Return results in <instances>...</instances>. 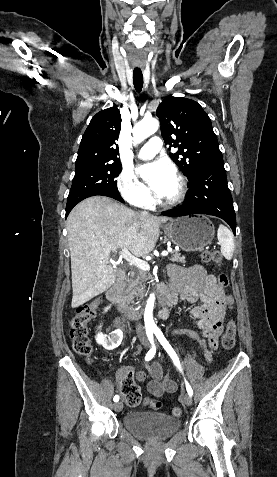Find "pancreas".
I'll use <instances>...</instances> for the list:
<instances>
[{
	"label": "pancreas",
	"instance_id": "1",
	"mask_svg": "<svg viewBox=\"0 0 277 477\" xmlns=\"http://www.w3.org/2000/svg\"><path fill=\"white\" fill-rule=\"evenodd\" d=\"M171 253V261L185 264V256H181L179 251L173 250ZM147 279L148 273L141 269L137 271L136 275L134 273L131 274V278L128 280L127 301H133L135 297H141L143 295L141 287Z\"/></svg>",
	"mask_w": 277,
	"mask_h": 477
}]
</instances>
